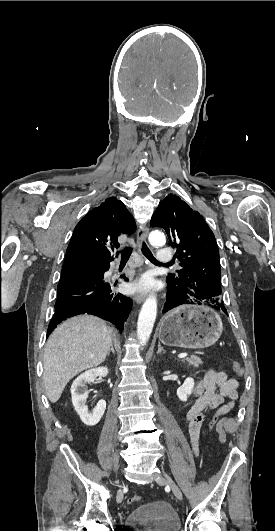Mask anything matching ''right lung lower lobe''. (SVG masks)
Returning a JSON list of instances; mask_svg holds the SVG:
<instances>
[{"mask_svg":"<svg viewBox=\"0 0 275 531\" xmlns=\"http://www.w3.org/2000/svg\"><path fill=\"white\" fill-rule=\"evenodd\" d=\"M112 260L63 267L57 287L55 313L47 336L63 320L85 313L110 321L120 331L123 330L132 301L114 290L117 282L112 285L103 280ZM123 279L128 280L125 276Z\"/></svg>","mask_w":275,"mask_h":531,"instance_id":"obj_1","label":"right lung lower lobe"}]
</instances>
